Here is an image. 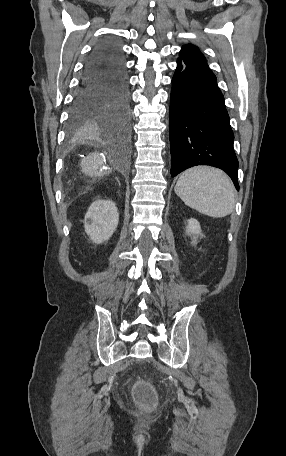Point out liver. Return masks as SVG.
<instances>
[{
    "label": "liver",
    "mask_w": 286,
    "mask_h": 456,
    "mask_svg": "<svg viewBox=\"0 0 286 456\" xmlns=\"http://www.w3.org/2000/svg\"><path fill=\"white\" fill-rule=\"evenodd\" d=\"M82 172L86 176L92 178L101 177L104 175L103 171V156L99 153H93L87 156L80 164Z\"/></svg>",
    "instance_id": "1"
}]
</instances>
